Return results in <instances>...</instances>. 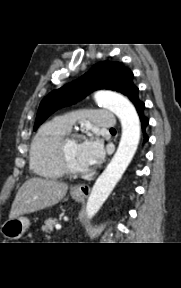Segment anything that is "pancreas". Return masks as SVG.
<instances>
[{
    "label": "pancreas",
    "mask_w": 181,
    "mask_h": 288,
    "mask_svg": "<svg viewBox=\"0 0 181 288\" xmlns=\"http://www.w3.org/2000/svg\"><path fill=\"white\" fill-rule=\"evenodd\" d=\"M58 220L55 218H49L45 220L44 225L42 226V231L50 233L53 230V225L57 224Z\"/></svg>",
    "instance_id": "pancreas-1"
}]
</instances>
